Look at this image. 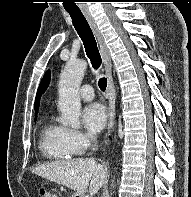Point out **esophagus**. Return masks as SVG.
I'll return each instance as SVG.
<instances>
[{"instance_id": "esophagus-1", "label": "esophagus", "mask_w": 191, "mask_h": 197, "mask_svg": "<svg viewBox=\"0 0 191 197\" xmlns=\"http://www.w3.org/2000/svg\"><path fill=\"white\" fill-rule=\"evenodd\" d=\"M84 16L86 17L91 29L93 30L98 45L100 48L101 56L104 63L105 73L107 77V90H106V98L108 101V132L107 135H110L111 131L113 130L115 126V93H114V84H113V78H112V62L109 50L104 42V39L97 27V24L92 17V15L88 12L84 13Z\"/></svg>"}]
</instances>
